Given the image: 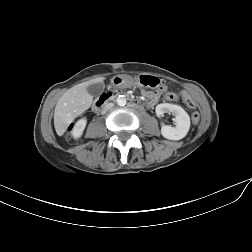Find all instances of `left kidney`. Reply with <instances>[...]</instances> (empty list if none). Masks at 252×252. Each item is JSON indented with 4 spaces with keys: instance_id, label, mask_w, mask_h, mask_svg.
<instances>
[{
    "instance_id": "obj_1",
    "label": "left kidney",
    "mask_w": 252,
    "mask_h": 252,
    "mask_svg": "<svg viewBox=\"0 0 252 252\" xmlns=\"http://www.w3.org/2000/svg\"><path fill=\"white\" fill-rule=\"evenodd\" d=\"M157 116H163L165 113H171L175 116V127L162 125L161 134L166 139L180 140L184 138L190 129V117L187 112L178 105L162 103L156 106Z\"/></svg>"
}]
</instances>
